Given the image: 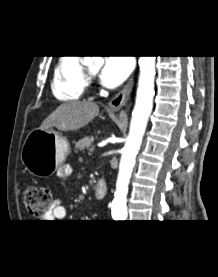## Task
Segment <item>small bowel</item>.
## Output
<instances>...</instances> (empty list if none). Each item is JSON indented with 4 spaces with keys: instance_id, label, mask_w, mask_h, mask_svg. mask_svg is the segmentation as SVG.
<instances>
[{
    "instance_id": "obj_1",
    "label": "small bowel",
    "mask_w": 218,
    "mask_h": 277,
    "mask_svg": "<svg viewBox=\"0 0 218 277\" xmlns=\"http://www.w3.org/2000/svg\"><path fill=\"white\" fill-rule=\"evenodd\" d=\"M72 174V168L69 165H63L58 171V177L63 182ZM66 207L60 200H56L52 209L46 214V222L63 220L66 217Z\"/></svg>"
}]
</instances>
